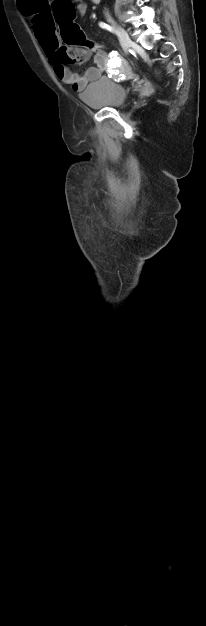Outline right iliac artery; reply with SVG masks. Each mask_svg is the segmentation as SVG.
I'll use <instances>...</instances> for the list:
<instances>
[{
    "label": "right iliac artery",
    "mask_w": 206,
    "mask_h": 626,
    "mask_svg": "<svg viewBox=\"0 0 206 626\" xmlns=\"http://www.w3.org/2000/svg\"><path fill=\"white\" fill-rule=\"evenodd\" d=\"M99 26H100L101 28H103V29H107V30H109L110 32L116 33V34L119 36V34H118L117 30H116L115 28H113V27L109 26V25H108V24H106L105 22H99Z\"/></svg>",
    "instance_id": "1"
}]
</instances>
